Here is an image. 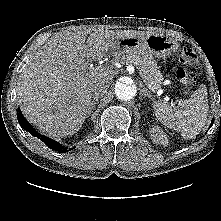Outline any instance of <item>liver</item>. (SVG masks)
Instances as JSON below:
<instances>
[{
	"label": "liver",
	"mask_w": 221,
	"mask_h": 221,
	"mask_svg": "<svg viewBox=\"0 0 221 221\" xmlns=\"http://www.w3.org/2000/svg\"><path fill=\"white\" fill-rule=\"evenodd\" d=\"M149 34L96 31L86 41L88 31H66L51 38L21 73L17 96L22 113L49 136L73 135L88 115L93 89H108L113 73L109 67H89L87 59L103 58L121 39Z\"/></svg>",
	"instance_id": "obj_1"
}]
</instances>
